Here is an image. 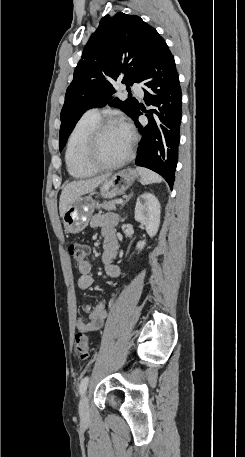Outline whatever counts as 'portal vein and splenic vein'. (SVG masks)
Listing matches in <instances>:
<instances>
[{
    "mask_svg": "<svg viewBox=\"0 0 245 457\" xmlns=\"http://www.w3.org/2000/svg\"><path fill=\"white\" fill-rule=\"evenodd\" d=\"M116 202H123V198H117Z\"/></svg>",
    "mask_w": 245,
    "mask_h": 457,
    "instance_id": "obj_1",
    "label": "portal vein and splenic vein"
}]
</instances>
